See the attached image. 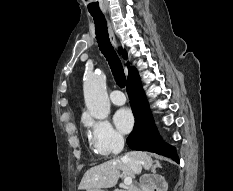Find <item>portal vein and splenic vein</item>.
<instances>
[{
    "label": "portal vein and splenic vein",
    "instance_id": "obj_1",
    "mask_svg": "<svg viewBox=\"0 0 233 191\" xmlns=\"http://www.w3.org/2000/svg\"><path fill=\"white\" fill-rule=\"evenodd\" d=\"M124 184L126 186H131V184H132V178L131 177H125Z\"/></svg>",
    "mask_w": 233,
    "mask_h": 191
}]
</instances>
